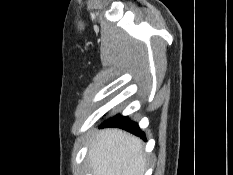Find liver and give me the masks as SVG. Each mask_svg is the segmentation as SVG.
I'll return each instance as SVG.
<instances>
[{
	"label": "liver",
	"mask_w": 233,
	"mask_h": 175,
	"mask_svg": "<svg viewBox=\"0 0 233 175\" xmlns=\"http://www.w3.org/2000/svg\"><path fill=\"white\" fill-rule=\"evenodd\" d=\"M88 159L93 175H144L145 171L141 140L116 128L93 137Z\"/></svg>",
	"instance_id": "obj_1"
}]
</instances>
